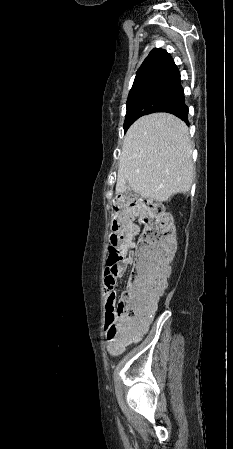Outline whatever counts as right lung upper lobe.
I'll use <instances>...</instances> for the list:
<instances>
[{"instance_id": "obj_1", "label": "right lung upper lobe", "mask_w": 233, "mask_h": 449, "mask_svg": "<svg viewBox=\"0 0 233 449\" xmlns=\"http://www.w3.org/2000/svg\"><path fill=\"white\" fill-rule=\"evenodd\" d=\"M155 88L183 90L180 73L172 57L163 49H153L137 71L129 95Z\"/></svg>"}]
</instances>
